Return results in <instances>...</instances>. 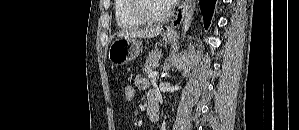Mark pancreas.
<instances>
[{
  "instance_id": "obj_1",
  "label": "pancreas",
  "mask_w": 299,
  "mask_h": 130,
  "mask_svg": "<svg viewBox=\"0 0 299 130\" xmlns=\"http://www.w3.org/2000/svg\"><path fill=\"white\" fill-rule=\"evenodd\" d=\"M162 57V53L159 51H151L146 60L144 70L146 73H149L153 68L158 65L159 60Z\"/></svg>"
}]
</instances>
